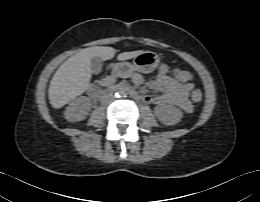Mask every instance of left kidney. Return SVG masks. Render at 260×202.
<instances>
[{
  "label": "left kidney",
  "mask_w": 260,
  "mask_h": 202,
  "mask_svg": "<svg viewBox=\"0 0 260 202\" xmlns=\"http://www.w3.org/2000/svg\"><path fill=\"white\" fill-rule=\"evenodd\" d=\"M154 113L158 120L165 125H175L183 118L182 111L169 104L156 106Z\"/></svg>",
  "instance_id": "left-kidney-1"
}]
</instances>
